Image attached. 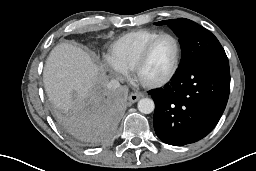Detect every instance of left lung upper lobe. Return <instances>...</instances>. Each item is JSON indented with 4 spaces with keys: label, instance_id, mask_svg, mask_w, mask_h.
Segmentation results:
<instances>
[{
    "label": "left lung upper lobe",
    "instance_id": "left-lung-upper-lobe-1",
    "mask_svg": "<svg viewBox=\"0 0 256 171\" xmlns=\"http://www.w3.org/2000/svg\"><path fill=\"white\" fill-rule=\"evenodd\" d=\"M155 24H167L179 37L182 49L179 68L200 59L226 56L218 39L210 31L189 19L164 20Z\"/></svg>",
    "mask_w": 256,
    "mask_h": 171
}]
</instances>
